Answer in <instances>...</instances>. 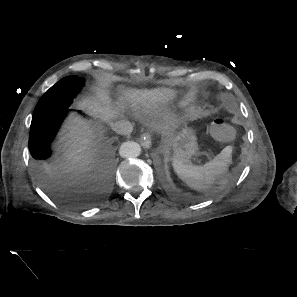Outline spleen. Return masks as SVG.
Segmentation results:
<instances>
[{
  "mask_svg": "<svg viewBox=\"0 0 297 297\" xmlns=\"http://www.w3.org/2000/svg\"><path fill=\"white\" fill-rule=\"evenodd\" d=\"M232 146H226L217 156L204 165H194L180 160L173 161L178 177L190 188L197 191L218 189L224 182V175L231 159Z\"/></svg>",
  "mask_w": 297,
  "mask_h": 297,
  "instance_id": "spleen-1",
  "label": "spleen"
}]
</instances>
